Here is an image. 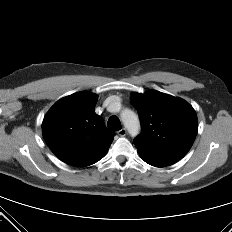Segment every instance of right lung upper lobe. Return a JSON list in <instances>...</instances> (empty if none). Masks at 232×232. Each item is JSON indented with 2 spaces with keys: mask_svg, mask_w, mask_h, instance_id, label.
Returning <instances> with one entry per match:
<instances>
[{
  "mask_svg": "<svg viewBox=\"0 0 232 232\" xmlns=\"http://www.w3.org/2000/svg\"><path fill=\"white\" fill-rule=\"evenodd\" d=\"M97 96L79 92L57 101L45 115L43 137L63 162L86 167L107 153L115 133L94 112Z\"/></svg>",
  "mask_w": 232,
  "mask_h": 232,
  "instance_id": "1",
  "label": "right lung upper lobe"
}]
</instances>
